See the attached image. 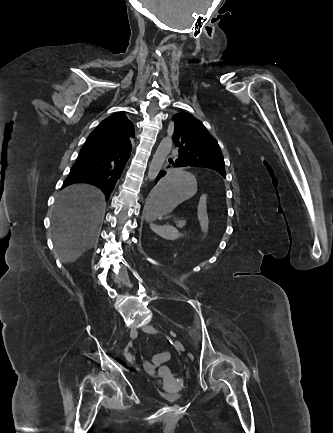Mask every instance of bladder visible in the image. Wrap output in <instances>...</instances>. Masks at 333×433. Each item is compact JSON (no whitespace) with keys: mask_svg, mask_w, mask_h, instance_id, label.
<instances>
[{"mask_svg":"<svg viewBox=\"0 0 333 433\" xmlns=\"http://www.w3.org/2000/svg\"><path fill=\"white\" fill-rule=\"evenodd\" d=\"M160 396L163 400H165L167 402H177L183 398L184 393L183 392L161 391Z\"/></svg>","mask_w":333,"mask_h":433,"instance_id":"obj_1","label":"bladder"}]
</instances>
